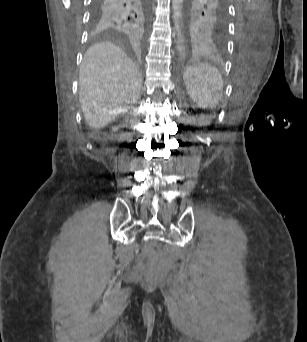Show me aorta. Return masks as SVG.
Returning a JSON list of instances; mask_svg holds the SVG:
<instances>
[{"label":"aorta","instance_id":"762f6f07","mask_svg":"<svg viewBox=\"0 0 307 342\" xmlns=\"http://www.w3.org/2000/svg\"><path fill=\"white\" fill-rule=\"evenodd\" d=\"M182 4H183V0H173L172 2L173 18H174L175 28L177 30V38L179 42V46H177V50L178 52H180V54H182L184 50V46H181L183 42V38L181 36V26L179 24V20L182 16V12H181Z\"/></svg>","mask_w":307,"mask_h":342}]
</instances>
